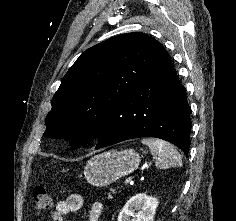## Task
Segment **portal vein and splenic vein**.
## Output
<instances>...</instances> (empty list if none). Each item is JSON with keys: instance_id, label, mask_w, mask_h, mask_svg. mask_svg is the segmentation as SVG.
Listing matches in <instances>:
<instances>
[{"instance_id": "1", "label": "portal vein and splenic vein", "mask_w": 236, "mask_h": 221, "mask_svg": "<svg viewBox=\"0 0 236 221\" xmlns=\"http://www.w3.org/2000/svg\"><path fill=\"white\" fill-rule=\"evenodd\" d=\"M132 178L124 182V185H127L129 182H131Z\"/></svg>"}]
</instances>
